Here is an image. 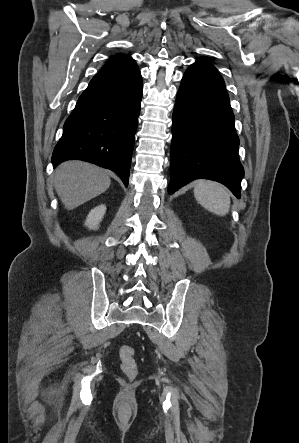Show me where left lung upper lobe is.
<instances>
[{
	"label": "left lung upper lobe",
	"instance_id": "obj_1",
	"mask_svg": "<svg viewBox=\"0 0 299 443\" xmlns=\"http://www.w3.org/2000/svg\"><path fill=\"white\" fill-rule=\"evenodd\" d=\"M197 63H201V64H203V65H206V66H209V67L214 68V66H213L210 62H208V61H206V60H202V61H199V62H197Z\"/></svg>",
	"mask_w": 299,
	"mask_h": 443
}]
</instances>
